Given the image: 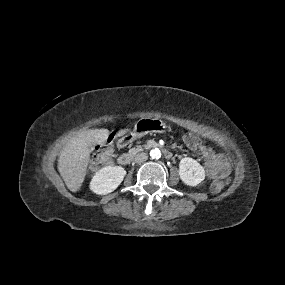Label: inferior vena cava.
I'll return each mask as SVG.
<instances>
[{"instance_id": "obj_1", "label": "inferior vena cava", "mask_w": 285, "mask_h": 285, "mask_svg": "<svg viewBox=\"0 0 285 285\" xmlns=\"http://www.w3.org/2000/svg\"><path fill=\"white\" fill-rule=\"evenodd\" d=\"M147 159H148V155L146 153L142 152V153H139L135 156L134 161L136 163H142V162L146 161Z\"/></svg>"}]
</instances>
